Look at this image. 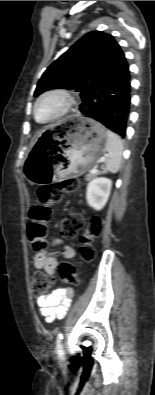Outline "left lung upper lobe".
Here are the masks:
<instances>
[{"label": "left lung upper lobe", "mask_w": 155, "mask_h": 395, "mask_svg": "<svg viewBox=\"0 0 155 395\" xmlns=\"http://www.w3.org/2000/svg\"><path fill=\"white\" fill-rule=\"evenodd\" d=\"M125 55L114 37L102 31L85 34L40 78L34 95L54 88L74 89L84 101L100 84L103 76Z\"/></svg>", "instance_id": "obj_1"}]
</instances>
